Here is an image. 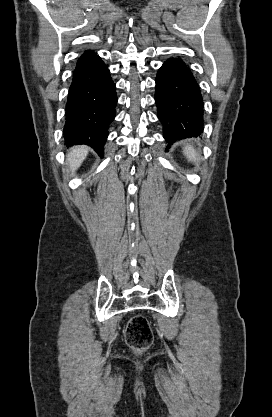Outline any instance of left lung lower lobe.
Returning a JSON list of instances; mask_svg holds the SVG:
<instances>
[{"mask_svg":"<svg viewBox=\"0 0 272 417\" xmlns=\"http://www.w3.org/2000/svg\"><path fill=\"white\" fill-rule=\"evenodd\" d=\"M155 101L166 142L197 137L203 132L204 103L189 67L178 58L168 59L156 77Z\"/></svg>","mask_w":272,"mask_h":417,"instance_id":"obj_1","label":"left lung lower lobe"}]
</instances>
